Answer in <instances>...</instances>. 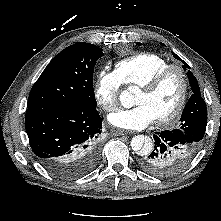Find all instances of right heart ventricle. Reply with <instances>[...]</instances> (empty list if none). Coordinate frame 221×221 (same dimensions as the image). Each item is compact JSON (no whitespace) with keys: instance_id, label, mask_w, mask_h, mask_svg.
I'll return each instance as SVG.
<instances>
[{"instance_id":"e07e8e85","label":"right heart ventricle","mask_w":221,"mask_h":221,"mask_svg":"<svg viewBox=\"0 0 221 221\" xmlns=\"http://www.w3.org/2000/svg\"><path fill=\"white\" fill-rule=\"evenodd\" d=\"M169 62L154 53H138L115 64L114 73L125 86H141Z\"/></svg>"}]
</instances>
